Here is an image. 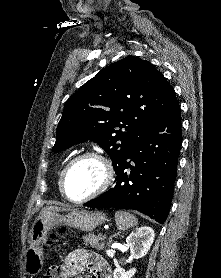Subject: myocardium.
Wrapping results in <instances>:
<instances>
[{"instance_id": "f54148a6", "label": "myocardium", "mask_w": 221, "mask_h": 278, "mask_svg": "<svg viewBox=\"0 0 221 278\" xmlns=\"http://www.w3.org/2000/svg\"><path fill=\"white\" fill-rule=\"evenodd\" d=\"M87 158L95 159L96 161H98L101 164L102 169H103V179H102L101 183L99 184V186L94 191H92L90 194L86 195L85 197H83L81 199H72L68 196V194L66 192V180H67L68 172H69L70 168L77 161H80L82 159H87ZM113 180H114V168H113L111 162L106 157L101 155L100 153H97L94 151H85V152L75 155L64 166L62 173H61V178H60V191H61L63 197L66 200H68L69 202L81 204V203L87 202V201L99 196L103 192H105L108 189V187L112 184Z\"/></svg>"}]
</instances>
